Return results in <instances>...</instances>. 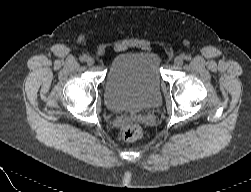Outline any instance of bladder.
<instances>
[{
  "label": "bladder",
  "mask_w": 251,
  "mask_h": 192,
  "mask_svg": "<svg viewBox=\"0 0 251 192\" xmlns=\"http://www.w3.org/2000/svg\"><path fill=\"white\" fill-rule=\"evenodd\" d=\"M161 59L151 51L123 52L110 64L104 86L106 106L116 112H138L160 101Z\"/></svg>",
  "instance_id": "obj_1"
}]
</instances>
